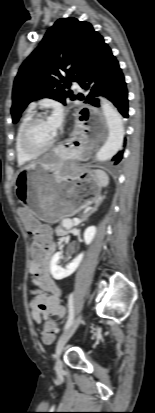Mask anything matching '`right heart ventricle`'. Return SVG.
Returning a JSON list of instances; mask_svg holds the SVG:
<instances>
[{
    "label": "right heart ventricle",
    "mask_w": 155,
    "mask_h": 413,
    "mask_svg": "<svg viewBox=\"0 0 155 413\" xmlns=\"http://www.w3.org/2000/svg\"><path fill=\"white\" fill-rule=\"evenodd\" d=\"M31 117H32V112L27 111L21 118L18 124V127H17V131L15 135V153H16V158H17V162L19 165H25L34 159V157L29 156L24 152L22 145H21V133H22L23 127L29 121Z\"/></svg>",
    "instance_id": "1"
}]
</instances>
